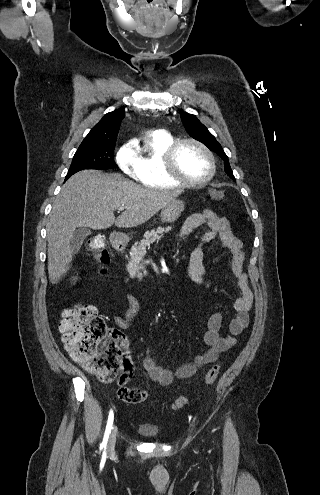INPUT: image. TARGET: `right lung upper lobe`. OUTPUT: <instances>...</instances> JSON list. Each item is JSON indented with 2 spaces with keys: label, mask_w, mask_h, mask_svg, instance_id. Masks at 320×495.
Wrapping results in <instances>:
<instances>
[{
  "label": "right lung upper lobe",
  "mask_w": 320,
  "mask_h": 495,
  "mask_svg": "<svg viewBox=\"0 0 320 495\" xmlns=\"http://www.w3.org/2000/svg\"><path fill=\"white\" fill-rule=\"evenodd\" d=\"M125 113L114 110L104 115L85 137L80 146H98L116 143L120 123Z\"/></svg>",
  "instance_id": "right-lung-upper-lobe-1"
}]
</instances>
